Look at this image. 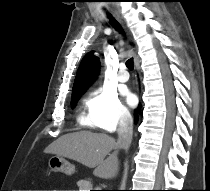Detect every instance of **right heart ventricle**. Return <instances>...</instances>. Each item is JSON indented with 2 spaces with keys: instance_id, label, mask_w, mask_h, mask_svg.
<instances>
[{
  "instance_id": "e07e8e85",
  "label": "right heart ventricle",
  "mask_w": 210,
  "mask_h": 191,
  "mask_svg": "<svg viewBox=\"0 0 210 191\" xmlns=\"http://www.w3.org/2000/svg\"><path fill=\"white\" fill-rule=\"evenodd\" d=\"M80 122L84 125H93L89 115H86L85 113H81Z\"/></svg>"
}]
</instances>
